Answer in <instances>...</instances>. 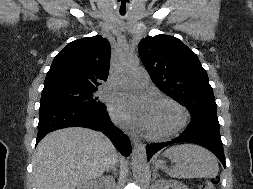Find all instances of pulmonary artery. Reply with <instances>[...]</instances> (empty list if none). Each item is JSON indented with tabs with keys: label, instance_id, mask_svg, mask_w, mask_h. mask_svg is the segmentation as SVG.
Listing matches in <instances>:
<instances>
[{
	"label": "pulmonary artery",
	"instance_id": "1",
	"mask_svg": "<svg viewBox=\"0 0 253 189\" xmlns=\"http://www.w3.org/2000/svg\"><path fill=\"white\" fill-rule=\"evenodd\" d=\"M124 84H138L140 86H146L148 85V77L145 73L143 72H134L131 75L127 76L124 80H123Z\"/></svg>",
	"mask_w": 253,
	"mask_h": 189
}]
</instances>
